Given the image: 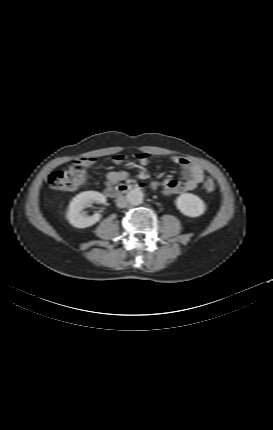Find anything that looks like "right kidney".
I'll use <instances>...</instances> for the list:
<instances>
[{
	"label": "right kidney",
	"instance_id": "ca27d5eb",
	"mask_svg": "<svg viewBox=\"0 0 273 430\" xmlns=\"http://www.w3.org/2000/svg\"><path fill=\"white\" fill-rule=\"evenodd\" d=\"M89 202L105 203L106 198L103 194L96 191H85L76 195L69 204L67 219L71 225L76 228H86L97 223L101 215L95 213L92 216H86L84 209Z\"/></svg>",
	"mask_w": 273,
	"mask_h": 430
}]
</instances>
